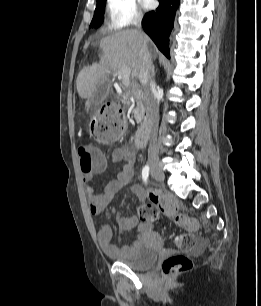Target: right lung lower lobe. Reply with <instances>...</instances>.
Wrapping results in <instances>:
<instances>
[{"instance_id":"1","label":"right lung lower lobe","mask_w":261,"mask_h":306,"mask_svg":"<svg viewBox=\"0 0 261 306\" xmlns=\"http://www.w3.org/2000/svg\"><path fill=\"white\" fill-rule=\"evenodd\" d=\"M155 11L147 13L142 20L144 31L151 37L164 55L170 57L168 43L173 28L176 9L180 0H158Z\"/></svg>"}]
</instances>
